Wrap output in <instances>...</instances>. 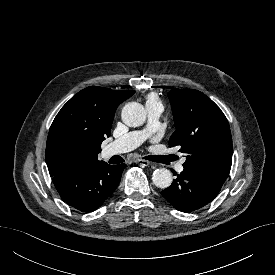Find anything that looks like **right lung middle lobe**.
<instances>
[{
	"instance_id": "dd1d6c3e",
	"label": "right lung middle lobe",
	"mask_w": 275,
	"mask_h": 275,
	"mask_svg": "<svg viewBox=\"0 0 275 275\" xmlns=\"http://www.w3.org/2000/svg\"><path fill=\"white\" fill-rule=\"evenodd\" d=\"M68 151H69L70 154H74V153L77 152V149L75 147H71V148H69Z\"/></svg>"
}]
</instances>
